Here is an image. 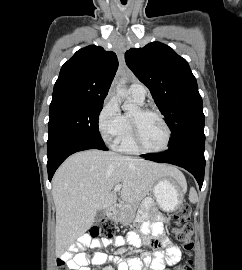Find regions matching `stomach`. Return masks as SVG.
<instances>
[{
  "mask_svg": "<svg viewBox=\"0 0 242 270\" xmlns=\"http://www.w3.org/2000/svg\"><path fill=\"white\" fill-rule=\"evenodd\" d=\"M186 184L172 177H162L154 187L153 194L159 207L166 212H171L180 207Z\"/></svg>",
  "mask_w": 242,
  "mask_h": 270,
  "instance_id": "0dacf381",
  "label": "stomach"
}]
</instances>
